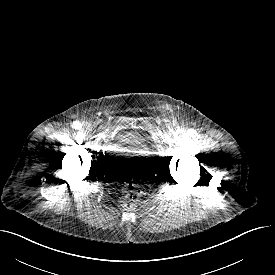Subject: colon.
<instances>
[{
	"instance_id": "obj_1",
	"label": "colon",
	"mask_w": 275,
	"mask_h": 275,
	"mask_svg": "<svg viewBox=\"0 0 275 275\" xmlns=\"http://www.w3.org/2000/svg\"><path fill=\"white\" fill-rule=\"evenodd\" d=\"M143 187L136 179H132L124 184V190L121 197V206L124 209H133L139 197L143 194Z\"/></svg>"
}]
</instances>
